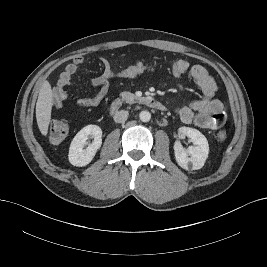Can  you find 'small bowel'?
<instances>
[{"instance_id": "1", "label": "small bowel", "mask_w": 267, "mask_h": 267, "mask_svg": "<svg viewBox=\"0 0 267 267\" xmlns=\"http://www.w3.org/2000/svg\"><path fill=\"white\" fill-rule=\"evenodd\" d=\"M101 65L103 67L102 73L91 80V86L96 90L95 94L79 98L77 100L79 107H96L106 97L113 70L106 58H101ZM84 67V58L78 56L60 74L52 95V104L55 108H60L67 100L69 96L68 88L71 86L74 76ZM190 76L200 87L204 98L179 108L177 110L178 117L185 124H194L203 129H218L225 123L226 114L222 102L215 98L217 91L215 80L201 65H193L190 68Z\"/></svg>"}]
</instances>
